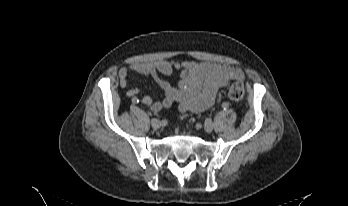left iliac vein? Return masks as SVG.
<instances>
[{
    "label": "left iliac vein",
    "mask_w": 348,
    "mask_h": 206,
    "mask_svg": "<svg viewBox=\"0 0 348 206\" xmlns=\"http://www.w3.org/2000/svg\"><path fill=\"white\" fill-rule=\"evenodd\" d=\"M204 130L207 132V133H211L212 130H213V124L211 122H207L205 125H204Z\"/></svg>",
    "instance_id": "left-iliac-vein-1"
}]
</instances>
